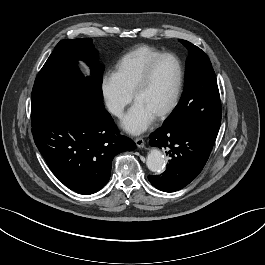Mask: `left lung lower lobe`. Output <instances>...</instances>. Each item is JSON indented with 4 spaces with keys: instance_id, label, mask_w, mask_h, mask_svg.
Masks as SVG:
<instances>
[{
    "instance_id": "1",
    "label": "left lung lower lobe",
    "mask_w": 265,
    "mask_h": 265,
    "mask_svg": "<svg viewBox=\"0 0 265 265\" xmlns=\"http://www.w3.org/2000/svg\"><path fill=\"white\" fill-rule=\"evenodd\" d=\"M150 145L163 147L171 159L162 175H149L150 183L165 192L182 189L205 166L214 142L201 131L188 127H161L150 135Z\"/></svg>"
}]
</instances>
